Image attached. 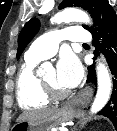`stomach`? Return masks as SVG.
<instances>
[{
  "instance_id": "0dacf381",
  "label": "stomach",
  "mask_w": 117,
  "mask_h": 131,
  "mask_svg": "<svg viewBox=\"0 0 117 131\" xmlns=\"http://www.w3.org/2000/svg\"><path fill=\"white\" fill-rule=\"evenodd\" d=\"M74 111L70 106H64L47 118L39 120H25L16 123L12 130L14 131H52L63 122L72 120Z\"/></svg>"
}]
</instances>
